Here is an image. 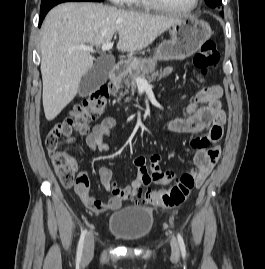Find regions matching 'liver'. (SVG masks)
<instances>
[{"label":"liver","instance_id":"obj_1","mask_svg":"<svg viewBox=\"0 0 265 269\" xmlns=\"http://www.w3.org/2000/svg\"><path fill=\"white\" fill-rule=\"evenodd\" d=\"M180 19L126 11L99 3H63L42 24L41 74L43 107L53 120L76 96L82 77L92 68L90 52L119 35L117 49L134 54L148 47Z\"/></svg>","mask_w":265,"mask_h":269}]
</instances>
